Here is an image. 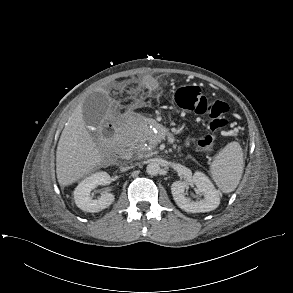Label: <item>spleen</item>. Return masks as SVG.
I'll use <instances>...</instances> for the list:
<instances>
[{
  "mask_svg": "<svg viewBox=\"0 0 293 293\" xmlns=\"http://www.w3.org/2000/svg\"><path fill=\"white\" fill-rule=\"evenodd\" d=\"M211 175L223 192H231L238 185L243 173V151L239 143L227 144L214 157Z\"/></svg>",
  "mask_w": 293,
  "mask_h": 293,
  "instance_id": "3e777b00",
  "label": "spleen"
}]
</instances>
